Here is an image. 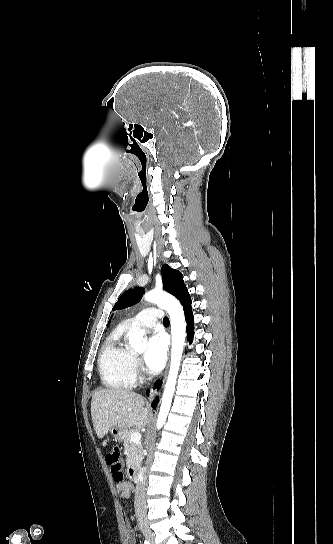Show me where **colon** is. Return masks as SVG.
<instances>
[{
  "label": "colon",
  "instance_id": "5ec220e1",
  "mask_svg": "<svg viewBox=\"0 0 333 544\" xmlns=\"http://www.w3.org/2000/svg\"><path fill=\"white\" fill-rule=\"evenodd\" d=\"M106 461L111 466L114 480L119 484L124 481L123 463L118 446H113L106 455Z\"/></svg>",
  "mask_w": 333,
  "mask_h": 544
}]
</instances>
